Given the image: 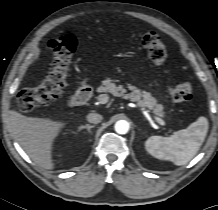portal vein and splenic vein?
<instances>
[{"label": "portal vein and splenic vein", "instance_id": "obj_1", "mask_svg": "<svg viewBox=\"0 0 218 210\" xmlns=\"http://www.w3.org/2000/svg\"><path fill=\"white\" fill-rule=\"evenodd\" d=\"M98 102L100 104H105L108 102V96L106 94H101L98 96ZM140 105H138L139 107ZM144 113H148L147 110H145L144 108H140ZM154 119L157 121V123H159L161 126H165V122L159 118V117H154Z\"/></svg>", "mask_w": 218, "mask_h": 210}]
</instances>
